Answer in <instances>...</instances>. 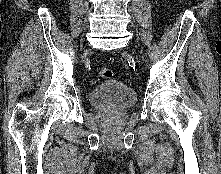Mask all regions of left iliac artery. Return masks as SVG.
Instances as JSON below:
<instances>
[{
	"label": "left iliac artery",
	"instance_id": "obj_1",
	"mask_svg": "<svg viewBox=\"0 0 221 174\" xmlns=\"http://www.w3.org/2000/svg\"><path fill=\"white\" fill-rule=\"evenodd\" d=\"M129 66H131V65H130V62H129V65H128V64L125 65V68H126V69H129Z\"/></svg>",
	"mask_w": 221,
	"mask_h": 174
}]
</instances>
